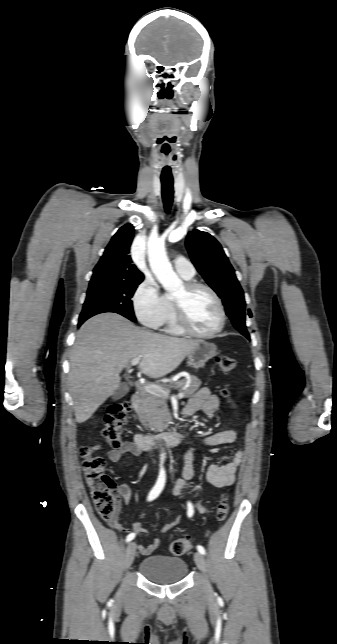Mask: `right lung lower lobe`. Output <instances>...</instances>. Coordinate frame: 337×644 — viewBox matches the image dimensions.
Wrapping results in <instances>:
<instances>
[{
	"label": "right lung lower lobe",
	"mask_w": 337,
	"mask_h": 644,
	"mask_svg": "<svg viewBox=\"0 0 337 644\" xmlns=\"http://www.w3.org/2000/svg\"><path fill=\"white\" fill-rule=\"evenodd\" d=\"M84 321H79L78 326H80Z\"/></svg>",
	"instance_id": "obj_1"
}]
</instances>
